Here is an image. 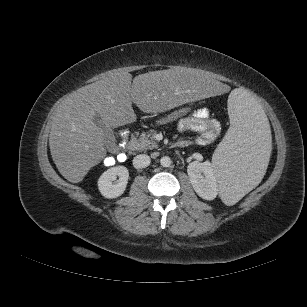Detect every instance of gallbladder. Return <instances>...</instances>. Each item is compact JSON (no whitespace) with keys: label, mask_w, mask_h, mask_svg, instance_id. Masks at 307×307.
I'll list each match as a JSON object with an SVG mask.
<instances>
[{"label":"gallbladder","mask_w":307,"mask_h":307,"mask_svg":"<svg viewBox=\"0 0 307 307\" xmlns=\"http://www.w3.org/2000/svg\"><path fill=\"white\" fill-rule=\"evenodd\" d=\"M94 123L102 130L104 141L106 143H110L114 140L115 137L113 130L104 123L100 116L96 115L94 117Z\"/></svg>","instance_id":"bac80fb5"}]
</instances>
